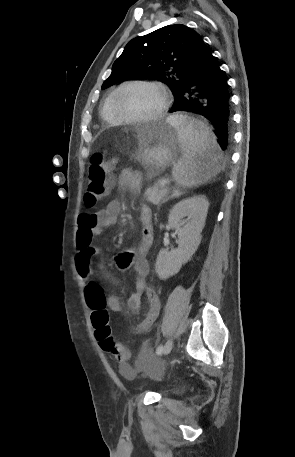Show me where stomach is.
Listing matches in <instances>:
<instances>
[{
  "label": "stomach",
  "instance_id": "0dacf381",
  "mask_svg": "<svg viewBox=\"0 0 295 457\" xmlns=\"http://www.w3.org/2000/svg\"><path fill=\"white\" fill-rule=\"evenodd\" d=\"M134 158L147 170L150 176L159 174L175 163L179 151L177 129L166 120L154 124L137 136Z\"/></svg>",
  "mask_w": 295,
  "mask_h": 457
}]
</instances>
